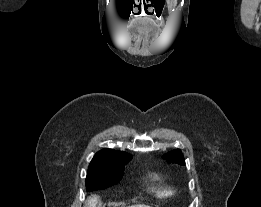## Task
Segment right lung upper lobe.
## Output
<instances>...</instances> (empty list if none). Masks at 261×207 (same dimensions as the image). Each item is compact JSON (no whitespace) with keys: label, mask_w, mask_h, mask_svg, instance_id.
<instances>
[{"label":"right lung upper lobe","mask_w":261,"mask_h":207,"mask_svg":"<svg viewBox=\"0 0 261 207\" xmlns=\"http://www.w3.org/2000/svg\"><path fill=\"white\" fill-rule=\"evenodd\" d=\"M129 158H131V155L123 151H116L113 149H103L98 153H96L89 167L111 166L120 162L121 160L129 159Z\"/></svg>","instance_id":"right-lung-upper-lobe-1"}]
</instances>
